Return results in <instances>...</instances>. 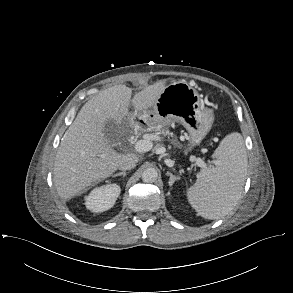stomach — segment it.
Masks as SVG:
<instances>
[{"label":"stomach","instance_id":"1","mask_svg":"<svg viewBox=\"0 0 293 293\" xmlns=\"http://www.w3.org/2000/svg\"><path fill=\"white\" fill-rule=\"evenodd\" d=\"M139 119L150 128L174 122L181 123L189 133V147L200 144L210 131L214 114L205 108L198 91L185 81L166 86L155 101L152 110L139 114Z\"/></svg>","mask_w":293,"mask_h":293}]
</instances>
